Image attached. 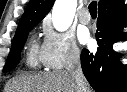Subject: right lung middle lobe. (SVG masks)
<instances>
[{"label": "right lung middle lobe", "instance_id": "obj_1", "mask_svg": "<svg viewBox=\"0 0 127 92\" xmlns=\"http://www.w3.org/2000/svg\"><path fill=\"white\" fill-rule=\"evenodd\" d=\"M35 26L36 25L24 28L23 30L15 34L13 42H12L11 51L7 57V61L3 68V72H9L17 66V64L20 61V53L25 44L28 33Z\"/></svg>", "mask_w": 127, "mask_h": 92}]
</instances>
